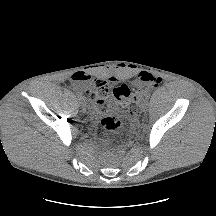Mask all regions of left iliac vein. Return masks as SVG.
<instances>
[{"instance_id":"4c4485c4","label":"left iliac vein","mask_w":216,"mask_h":216,"mask_svg":"<svg viewBox=\"0 0 216 216\" xmlns=\"http://www.w3.org/2000/svg\"><path fill=\"white\" fill-rule=\"evenodd\" d=\"M147 110V105H144L143 107H142V111H146Z\"/></svg>"}]
</instances>
